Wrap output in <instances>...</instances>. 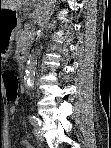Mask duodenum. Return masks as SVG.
Here are the masks:
<instances>
[{"mask_svg":"<svg viewBox=\"0 0 111 148\" xmlns=\"http://www.w3.org/2000/svg\"><path fill=\"white\" fill-rule=\"evenodd\" d=\"M26 60H27L26 56L23 54H20V62L22 64V68H24Z\"/></svg>","mask_w":111,"mask_h":148,"instance_id":"duodenum-1","label":"duodenum"}]
</instances>
